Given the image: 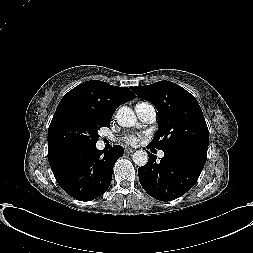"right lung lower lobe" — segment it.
I'll use <instances>...</instances> for the list:
<instances>
[{
	"mask_svg": "<svg viewBox=\"0 0 253 253\" xmlns=\"http://www.w3.org/2000/svg\"><path fill=\"white\" fill-rule=\"evenodd\" d=\"M122 146L100 151L95 145L67 147L48 152V161L59 186L80 201H91L107 191L113 166L123 155Z\"/></svg>",
	"mask_w": 253,
	"mask_h": 253,
	"instance_id": "98d812e1",
	"label": "right lung lower lobe"
}]
</instances>
